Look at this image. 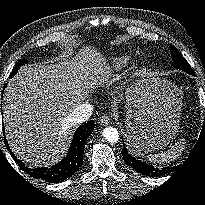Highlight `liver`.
<instances>
[{"mask_svg":"<svg viewBox=\"0 0 205 205\" xmlns=\"http://www.w3.org/2000/svg\"><path fill=\"white\" fill-rule=\"evenodd\" d=\"M102 61L100 53L89 51L57 65L20 68L3 99L6 136L17 157L48 164L64 155L71 142L67 117L89 88L109 79Z\"/></svg>","mask_w":205,"mask_h":205,"instance_id":"obj_1","label":"liver"}]
</instances>
